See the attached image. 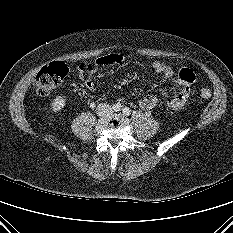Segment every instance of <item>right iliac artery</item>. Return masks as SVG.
<instances>
[{
	"label": "right iliac artery",
	"mask_w": 233,
	"mask_h": 233,
	"mask_svg": "<svg viewBox=\"0 0 233 233\" xmlns=\"http://www.w3.org/2000/svg\"><path fill=\"white\" fill-rule=\"evenodd\" d=\"M113 110L116 111V112L120 111L121 110V105L119 103L113 105Z\"/></svg>",
	"instance_id": "1"
}]
</instances>
